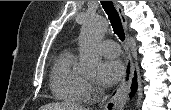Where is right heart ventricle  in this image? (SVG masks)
<instances>
[{"instance_id": "right-heart-ventricle-1", "label": "right heart ventricle", "mask_w": 171, "mask_h": 110, "mask_svg": "<svg viewBox=\"0 0 171 110\" xmlns=\"http://www.w3.org/2000/svg\"><path fill=\"white\" fill-rule=\"evenodd\" d=\"M75 57L70 50L55 59L51 72L53 94L66 102H83L88 98L85 79L74 68Z\"/></svg>"}]
</instances>
